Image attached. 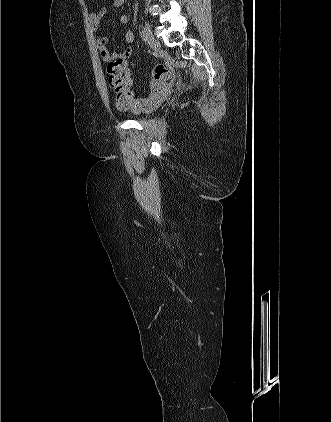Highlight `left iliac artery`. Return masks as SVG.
Segmentation results:
<instances>
[{
	"label": "left iliac artery",
	"mask_w": 331,
	"mask_h": 422,
	"mask_svg": "<svg viewBox=\"0 0 331 422\" xmlns=\"http://www.w3.org/2000/svg\"><path fill=\"white\" fill-rule=\"evenodd\" d=\"M141 38L143 41H147L148 39V31L146 28H143L141 31Z\"/></svg>",
	"instance_id": "1"
}]
</instances>
